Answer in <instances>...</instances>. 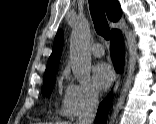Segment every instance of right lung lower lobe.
<instances>
[{"instance_id":"98d812e1","label":"right lung lower lobe","mask_w":156,"mask_h":124,"mask_svg":"<svg viewBox=\"0 0 156 124\" xmlns=\"http://www.w3.org/2000/svg\"><path fill=\"white\" fill-rule=\"evenodd\" d=\"M110 51L112 61L117 71H122L125 60L124 43L122 33L119 30H113L111 32ZM112 93H110L106 99L99 105L97 115L95 118V124H106L108 110L111 102Z\"/></svg>"}]
</instances>
